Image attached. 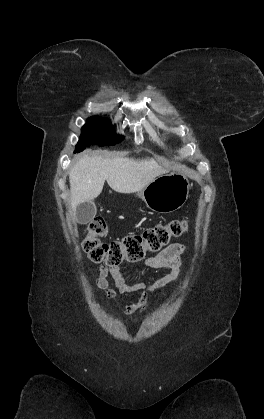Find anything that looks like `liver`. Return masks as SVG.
<instances>
[{
	"label": "liver",
	"instance_id": "obj_1",
	"mask_svg": "<svg viewBox=\"0 0 264 419\" xmlns=\"http://www.w3.org/2000/svg\"><path fill=\"white\" fill-rule=\"evenodd\" d=\"M153 158L134 159L117 157L104 159L85 153L69 172L71 207L91 202L102 192L105 181L118 193H135L155 178L167 173Z\"/></svg>",
	"mask_w": 264,
	"mask_h": 419
}]
</instances>
